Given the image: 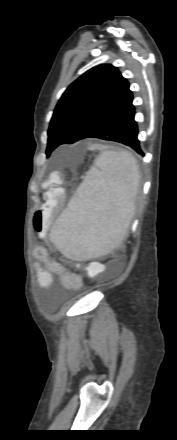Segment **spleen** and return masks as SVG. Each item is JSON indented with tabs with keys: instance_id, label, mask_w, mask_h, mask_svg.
<instances>
[{
	"instance_id": "3e777b00",
	"label": "spleen",
	"mask_w": 177,
	"mask_h": 440,
	"mask_svg": "<svg viewBox=\"0 0 177 440\" xmlns=\"http://www.w3.org/2000/svg\"><path fill=\"white\" fill-rule=\"evenodd\" d=\"M136 159L125 150L104 151L54 223L50 240L67 258L106 255L124 240L139 185Z\"/></svg>"
}]
</instances>
